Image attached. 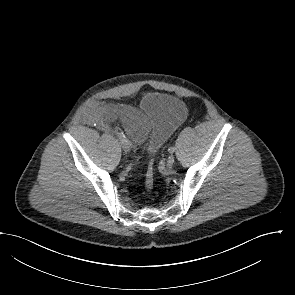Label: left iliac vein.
Returning a JSON list of instances; mask_svg holds the SVG:
<instances>
[{"instance_id":"1","label":"left iliac vein","mask_w":295,"mask_h":295,"mask_svg":"<svg viewBox=\"0 0 295 295\" xmlns=\"http://www.w3.org/2000/svg\"><path fill=\"white\" fill-rule=\"evenodd\" d=\"M174 162H175V157L174 155L171 154L167 159V166L171 167L174 164Z\"/></svg>"}]
</instances>
